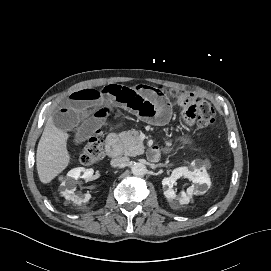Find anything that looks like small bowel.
<instances>
[{"instance_id": "small-bowel-1", "label": "small bowel", "mask_w": 271, "mask_h": 271, "mask_svg": "<svg viewBox=\"0 0 271 271\" xmlns=\"http://www.w3.org/2000/svg\"><path fill=\"white\" fill-rule=\"evenodd\" d=\"M120 110L155 125H163L171 116L166 92L147 85L123 87L116 84L101 89L86 88L73 92L68 101L53 115L49 132L74 134L75 143L106 123L114 111ZM154 149L152 155L156 156Z\"/></svg>"}]
</instances>
